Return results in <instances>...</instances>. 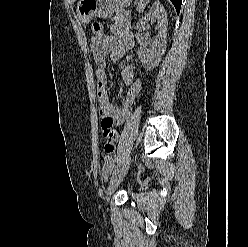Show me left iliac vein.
<instances>
[{
    "label": "left iliac vein",
    "instance_id": "left-iliac-vein-1",
    "mask_svg": "<svg viewBox=\"0 0 248 247\" xmlns=\"http://www.w3.org/2000/svg\"><path fill=\"white\" fill-rule=\"evenodd\" d=\"M131 164V157H128L122 167L118 170V172L116 173V175L114 177H112L108 189H107V193H106V200L109 201L112 194L114 193L115 189L118 187V185L120 184V182L123 180V178L125 177V175L128 172V169L130 167Z\"/></svg>",
    "mask_w": 248,
    "mask_h": 247
}]
</instances>
